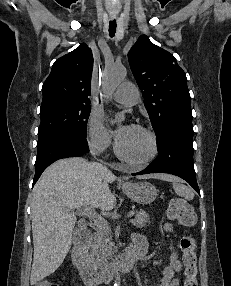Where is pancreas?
<instances>
[{
  "instance_id": "obj_1",
  "label": "pancreas",
  "mask_w": 231,
  "mask_h": 286,
  "mask_svg": "<svg viewBox=\"0 0 231 286\" xmlns=\"http://www.w3.org/2000/svg\"><path fill=\"white\" fill-rule=\"evenodd\" d=\"M149 222L150 217L144 210L136 212L135 218L131 220L137 227H144ZM113 245L110 227L98 228L91 239L88 262L96 268L105 266L112 257Z\"/></svg>"
}]
</instances>
